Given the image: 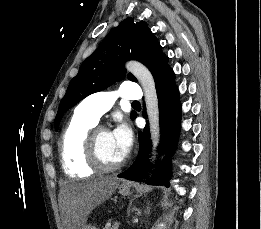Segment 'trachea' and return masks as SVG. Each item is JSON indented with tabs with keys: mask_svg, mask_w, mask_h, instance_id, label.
Segmentation results:
<instances>
[{
	"mask_svg": "<svg viewBox=\"0 0 261 229\" xmlns=\"http://www.w3.org/2000/svg\"><path fill=\"white\" fill-rule=\"evenodd\" d=\"M132 104H140V102H138V100H135L134 102H132Z\"/></svg>",
	"mask_w": 261,
	"mask_h": 229,
	"instance_id": "1",
	"label": "trachea"
}]
</instances>
